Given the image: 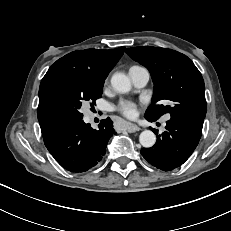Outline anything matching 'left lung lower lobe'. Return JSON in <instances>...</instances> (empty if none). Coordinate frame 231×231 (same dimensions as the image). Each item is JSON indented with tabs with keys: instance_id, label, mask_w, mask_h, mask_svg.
<instances>
[{
	"instance_id": "1",
	"label": "left lung lower lobe",
	"mask_w": 231,
	"mask_h": 231,
	"mask_svg": "<svg viewBox=\"0 0 231 231\" xmlns=\"http://www.w3.org/2000/svg\"><path fill=\"white\" fill-rule=\"evenodd\" d=\"M152 122L156 121L145 116ZM166 131L157 135V141L151 148L141 149L142 156L153 166L163 171H170L181 166L193 153L199 143L202 128L178 119L168 120Z\"/></svg>"
}]
</instances>
